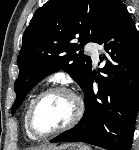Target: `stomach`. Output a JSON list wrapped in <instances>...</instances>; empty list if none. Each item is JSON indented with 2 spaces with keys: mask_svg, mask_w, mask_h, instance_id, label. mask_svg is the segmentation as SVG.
<instances>
[{
  "mask_svg": "<svg viewBox=\"0 0 139 150\" xmlns=\"http://www.w3.org/2000/svg\"><path fill=\"white\" fill-rule=\"evenodd\" d=\"M39 150H91V149L88 146L82 144L67 143L59 147H50V148L39 149Z\"/></svg>",
  "mask_w": 139,
  "mask_h": 150,
  "instance_id": "0dacf381",
  "label": "stomach"
}]
</instances>
